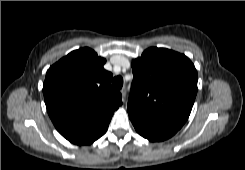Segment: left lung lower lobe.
<instances>
[{
  "label": "left lung lower lobe",
  "instance_id": "0a47b994",
  "mask_svg": "<svg viewBox=\"0 0 245 170\" xmlns=\"http://www.w3.org/2000/svg\"><path fill=\"white\" fill-rule=\"evenodd\" d=\"M129 118L136 131L150 141H164L178 131L176 128L151 122L138 115L129 113Z\"/></svg>",
  "mask_w": 245,
  "mask_h": 170
}]
</instances>
